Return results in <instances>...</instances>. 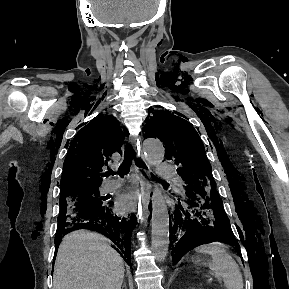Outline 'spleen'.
Listing matches in <instances>:
<instances>
[{
    "instance_id": "obj_1",
    "label": "spleen",
    "mask_w": 289,
    "mask_h": 289,
    "mask_svg": "<svg viewBox=\"0 0 289 289\" xmlns=\"http://www.w3.org/2000/svg\"><path fill=\"white\" fill-rule=\"evenodd\" d=\"M196 252L211 256L208 267L224 282L226 289H243V278L239 266L223 244L219 242L203 244L196 248Z\"/></svg>"
}]
</instances>
